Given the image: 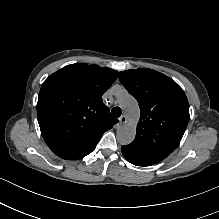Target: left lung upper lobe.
I'll list each match as a JSON object with an SVG mask.
<instances>
[{
    "label": "left lung upper lobe",
    "instance_id": "5c2ea615",
    "mask_svg": "<svg viewBox=\"0 0 219 219\" xmlns=\"http://www.w3.org/2000/svg\"><path fill=\"white\" fill-rule=\"evenodd\" d=\"M119 79L138 101L136 137L127 149L151 163H159L179 145L189 121V103L182 88L152 69L122 71Z\"/></svg>",
    "mask_w": 219,
    "mask_h": 219
}]
</instances>
